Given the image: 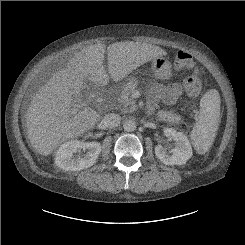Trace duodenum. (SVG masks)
<instances>
[{"label":"duodenum","mask_w":245,"mask_h":245,"mask_svg":"<svg viewBox=\"0 0 245 245\" xmlns=\"http://www.w3.org/2000/svg\"><path fill=\"white\" fill-rule=\"evenodd\" d=\"M106 108L110 112L114 110V106L111 103H108Z\"/></svg>","instance_id":"duodenum-1"}]
</instances>
